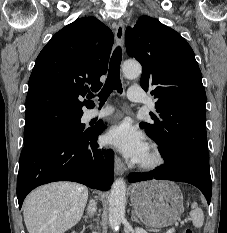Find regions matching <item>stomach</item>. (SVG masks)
I'll return each mask as SVG.
<instances>
[{
    "label": "stomach",
    "mask_w": 227,
    "mask_h": 233,
    "mask_svg": "<svg viewBox=\"0 0 227 233\" xmlns=\"http://www.w3.org/2000/svg\"><path fill=\"white\" fill-rule=\"evenodd\" d=\"M131 202L141 222L153 228L172 225L184 210L180 189L168 181H150L134 185L131 189Z\"/></svg>",
    "instance_id": "1"
}]
</instances>
